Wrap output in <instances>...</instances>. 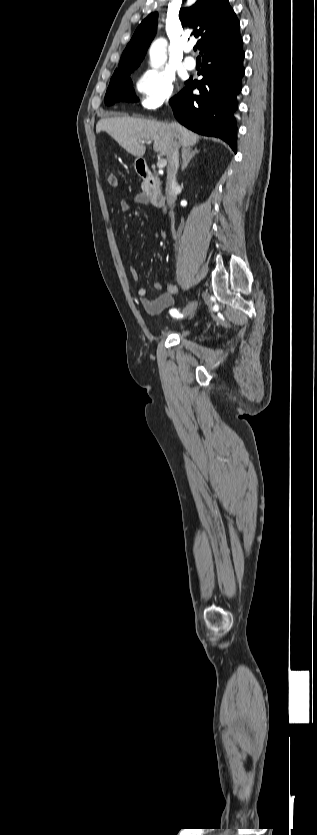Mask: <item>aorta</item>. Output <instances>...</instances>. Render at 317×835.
Listing matches in <instances>:
<instances>
[{
  "label": "aorta",
  "instance_id": "762f6f07",
  "mask_svg": "<svg viewBox=\"0 0 317 835\" xmlns=\"http://www.w3.org/2000/svg\"><path fill=\"white\" fill-rule=\"evenodd\" d=\"M167 41L164 38L156 39L150 47V64L154 68L163 65L167 59Z\"/></svg>",
  "mask_w": 317,
  "mask_h": 835
}]
</instances>
